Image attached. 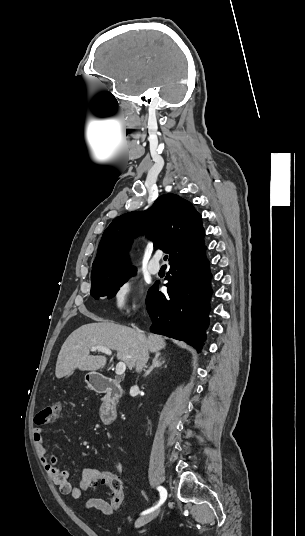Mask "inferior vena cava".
Returning <instances> with one entry per match:
<instances>
[{
  "label": "inferior vena cava",
  "instance_id": "1",
  "mask_svg": "<svg viewBox=\"0 0 305 536\" xmlns=\"http://www.w3.org/2000/svg\"><path fill=\"white\" fill-rule=\"evenodd\" d=\"M138 332H140V330H138ZM143 338V336H142ZM148 358H149V354L146 350V348H142L141 352H140V356H138L137 358V362H136V370L137 372H141L142 368H145L147 362H148ZM135 388H137V386H133L132 390H135Z\"/></svg>",
  "mask_w": 305,
  "mask_h": 536
}]
</instances>
